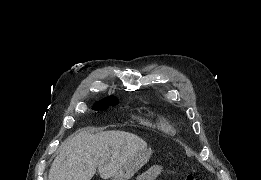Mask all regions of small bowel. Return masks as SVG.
Wrapping results in <instances>:
<instances>
[{
  "instance_id": "c3829d8e",
  "label": "small bowel",
  "mask_w": 261,
  "mask_h": 180,
  "mask_svg": "<svg viewBox=\"0 0 261 180\" xmlns=\"http://www.w3.org/2000/svg\"><path fill=\"white\" fill-rule=\"evenodd\" d=\"M163 167L159 164L151 166L146 171L142 172L139 176V180H155L163 174Z\"/></svg>"
}]
</instances>
